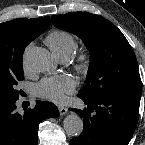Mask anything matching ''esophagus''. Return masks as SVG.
Returning <instances> with one entry per match:
<instances>
[{"label":"esophagus","mask_w":145,"mask_h":145,"mask_svg":"<svg viewBox=\"0 0 145 145\" xmlns=\"http://www.w3.org/2000/svg\"><path fill=\"white\" fill-rule=\"evenodd\" d=\"M60 115H65L67 113V108L63 107V106H58Z\"/></svg>","instance_id":"esophagus-1"}]
</instances>
